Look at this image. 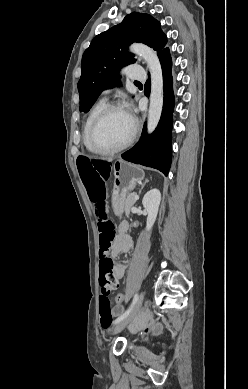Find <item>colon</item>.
I'll return each instance as SVG.
<instances>
[{
    "label": "colon",
    "mask_w": 248,
    "mask_h": 389,
    "mask_svg": "<svg viewBox=\"0 0 248 389\" xmlns=\"http://www.w3.org/2000/svg\"><path fill=\"white\" fill-rule=\"evenodd\" d=\"M76 163L80 169L81 179L98 216L99 254H100V286L99 320L103 329H108L113 322L110 294L118 287V279L114 272L111 258L107 256L115 238V226L107 214L105 203V182H108L112 162L108 157H77ZM125 291H116L115 306L121 307Z\"/></svg>",
    "instance_id": "obj_1"
}]
</instances>
